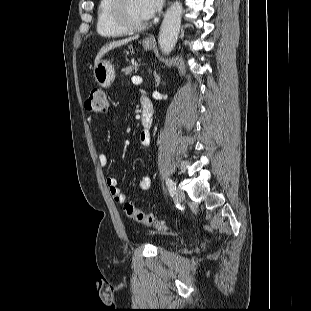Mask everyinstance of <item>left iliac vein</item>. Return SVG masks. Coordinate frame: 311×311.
Segmentation results:
<instances>
[{
	"instance_id": "4c4485c4",
	"label": "left iliac vein",
	"mask_w": 311,
	"mask_h": 311,
	"mask_svg": "<svg viewBox=\"0 0 311 311\" xmlns=\"http://www.w3.org/2000/svg\"><path fill=\"white\" fill-rule=\"evenodd\" d=\"M175 197H176L177 200H179L181 202V201L184 200L185 194H184V192L180 188H178L176 190Z\"/></svg>"
}]
</instances>
